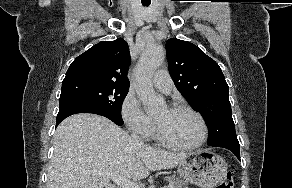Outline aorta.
<instances>
[{"mask_svg": "<svg viewBox=\"0 0 292 188\" xmlns=\"http://www.w3.org/2000/svg\"><path fill=\"white\" fill-rule=\"evenodd\" d=\"M164 58V48L153 44L141 54L136 67L137 94L149 112H156L164 105L163 98L155 93L152 86V77Z\"/></svg>", "mask_w": 292, "mask_h": 188, "instance_id": "1", "label": "aorta"}]
</instances>
